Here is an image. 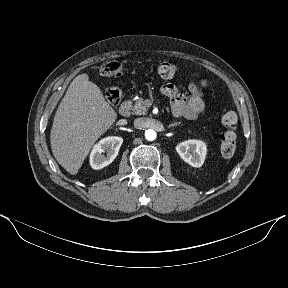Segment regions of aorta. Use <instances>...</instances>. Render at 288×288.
Wrapping results in <instances>:
<instances>
[{
	"instance_id": "obj_1",
	"label": "aorta",
	"mask_w": 288,
	"mask_h": 288,
	"mask_svg": "<svg viewBox=\"0 0 288 288\" xmlns=\"http://www.w3.org/2000/svg\"><path fill=\"white\" fill-rule=\"evenodd\" d=\"M145 138L148 141H153L156 139V132L153 129H148L145 131Z\"/></svg>"
}]
</instances>
